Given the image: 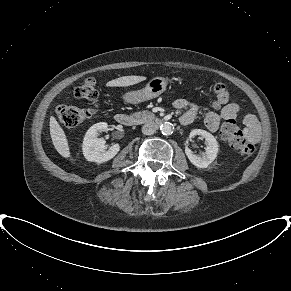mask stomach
Masks as SVG:
<instances>
[{"mask_svg": "<svg viewBox=\"0 0 291 291\" xmlns=\"http://www.w3.org/2000/svg\"><path fill=\"white\" fill-rule=\"evenodd\" d=\"M167 84V78L155 77L151 79L141 90L129 91L125 93L123 99L127 103H140L151 100L161 95L166 90Z\"/></svg>", "mask_w": 291, "mask_h": 291, "instance_id": "obj_1", "label": "stomach"}]
</instances>
